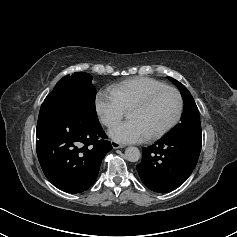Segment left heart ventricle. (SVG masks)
<instances>
[{
    "instance_id": "1",
    "label": "left heart ventricle",
    "mask_w": 237,
    "mask_h": 237,
    "mask_svg": "<svg viewBox=\"0 0 237 237\" xmlns=\"http://www.w3.org/2000/svg\"><path fill=\"white\" fill-rule=\"evenodd\" d=\"M178 100L173 92L166 91L158 95L145 108H131L128 112L130 120H137L148 136L166 126L174 117Z\"/></svg>"
}]
</instances>
